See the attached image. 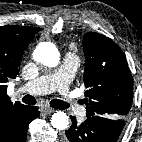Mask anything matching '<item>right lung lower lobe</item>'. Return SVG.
Instances as JSON below:
<instances>
[{
	"label": "right lung lower lobe",
	"instance_id": "right-lung-lower-lobe-1",
	"mask_svg": "<svg viewBox=\"0 0 142 142\" xmlns=\"http://www.w3.org/2000/svg\"><path fill=\"white\" fill-rule=\"evenodd\" d=\"M40 114L36 106H24L0 128V142H25L30 122Z\"/></svg>",
	"mask_w": 142,
	"mask_h": 142
}]
</instances>
